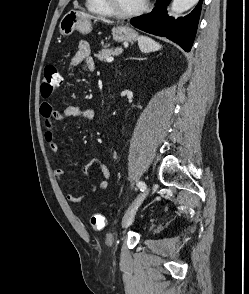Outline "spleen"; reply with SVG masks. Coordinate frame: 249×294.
<instances>
[{
    "mask_svg": "<svg viewBox=\"0 0 249 294\" xmlns=\"http://www.w3.org/2000/svg\"><path fill=\"white\" fill-rule=\"evenodd\" d=\"M138 45L140 50L144 53L155 52L162 47L159 43H157L153 39L143 35L139 36Z\"/></svg>",
    "mask_w": 249,
    "mask_h": 294,
    "instance_id": "obj_1",
    "label": "spleen"
}]
</instances>
